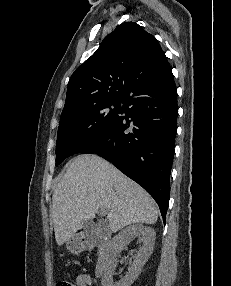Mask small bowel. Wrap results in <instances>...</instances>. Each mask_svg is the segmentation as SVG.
I'll return each instance as SVG.
<instances>
[{
    "label": "small bowel",
    "instance_id": "obj_1",
    "mask_svg": "<svg viewBox=\"0 0 231 286\" xmlns=\"http://www.w3.org/2000/svg\"><path fill=\"white\" fill-rule=\"evenodd\" d=\"M91 284V278L89 275L82 273L77 277V286H89Z\"/></svg>",
    "mask_w": 231,
    "mask_h": 286
}]
</instances>
